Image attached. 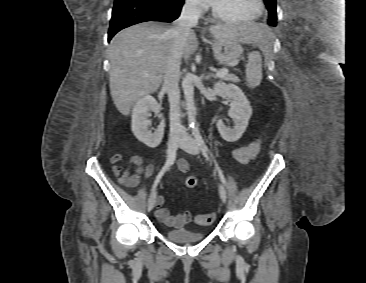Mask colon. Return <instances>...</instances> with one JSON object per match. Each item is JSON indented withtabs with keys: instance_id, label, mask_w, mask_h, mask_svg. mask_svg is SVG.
Returning a JSON list of instances; mask_svg holds the SVG:
<instances>
[{
	"instance_id": "obj_1",
	"label": "colon",
	"mask_w": 366,
	"mask_h": 283,
	"mask_svg": "<svg viewBox=\"0 0 366 283\" xmlns=\"http://www.w3.org/2000/svg\"><path fill=\"white\" fill-rule=\"evenodd\" d=\"M185 185L190 189L195 188L198 185V179L195 176H189L185 180ZM214 219H215V215L213 213L196 215L194 217V221L198 225H210L213 223Z\"/></svg>"
}]
</instances>
